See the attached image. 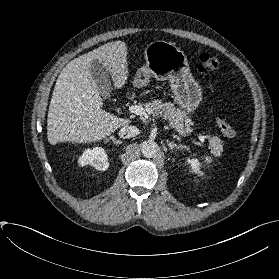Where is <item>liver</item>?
<instances>
[{"mask_svg":"<svg viewBox=\"0 0 279 279\" xmlns=\"http://www.w3.org/2000/svg\"><path fill=\"white\" fill-rule=\"evenodd\" d=\"M95 59L110 72L115 88L127 82V46L123 41L109 42L70 61L58 76L50 101V144L95 142L130 123L102 109L103 100L91 72Z\"/></svg>","mask_w":279,"mask_h":279,"instance_id":"obj_1","label":"liver"}]
</instances>
